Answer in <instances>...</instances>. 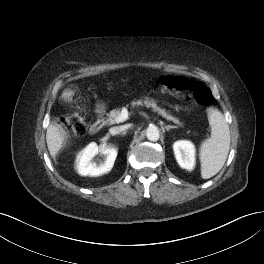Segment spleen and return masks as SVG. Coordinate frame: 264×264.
<instances>
[{
	"instance_id": "1",
	"label": "spleen",
	"mask_w": 264,
	"mask_h": 264,
	"mask_svg": "<svg viewBox=\"0 0 264 264\" xmlns=\"http://www.w3.org/2000/svg\"><path fill=\"white\" fill-rule=\"evenodd\" d=\"M211 137L200 147L201 176H215L224 166L230 149V130L224 115L215 108L208 110Z\"/></svg>"
}]
</instances>
